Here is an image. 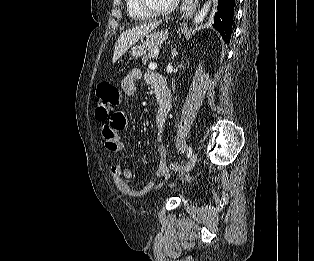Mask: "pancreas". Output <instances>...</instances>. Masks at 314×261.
<instances>
[{
  "label": "pancreas",
  "instance_id": "obj_1",
  "mask_svg": "<svg viewBox=\"0 0 314 261\" xmlns=\"http://www.w3.org/2000/svg\"><path fill=\"white\" fill-rule=\"evenodd\" d=\"M158 55L159 49L158 48L152 49L142 57V63L145 65L149 59H155L158 57Z\"/></svg>",
  "mask_w": 314,
  "mask_h": 261
}]
</instances>
